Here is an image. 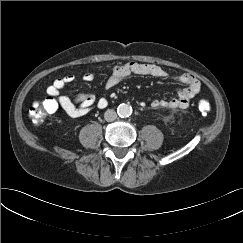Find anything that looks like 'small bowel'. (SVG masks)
Segmentation results:
<instances>
[{
	"mask_svg": "<svg viewBox=\"0 0 243 243\" xmlns=\"http://www.w3.org/2000/svg\"><path fill=\"white\" fill-rule=\"evenodd\" d=\"M135 75H147L157 78H165L168 73L162 67L155 64H144L138 62H128L117 64L112 67L111 74L108 76L105 87L107 90L114 88L126 77ZM83 79L91 82L95 79L94 72H87L83 75ZM74 75H65L55 79L47 88V94L54 98L57 104L72 118H78L88 114L93 108L103 109L108 105V98L102 96L96 98L89 93L76 95L70 98L66 95H60V91L67 85L73 83ZM178 80L185 85L178 92L177 97L172 99L153 98L150 105L154 108H169V109H185L190 105V101L200 90L199 80L190 73H183L178 76Z\"/></svg>",
	"mask_w": 243,
	"mask_h": 243,
	"instance_id": "small-bowel-1",
	"label": "small bowel"
}]
</instances>
